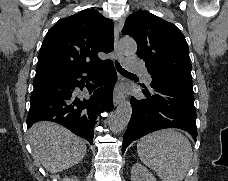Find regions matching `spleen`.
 I'll return each mask as SVG.
<instances>
[{
    "label": "spleen",
    "mask_w": 228,
    "mask_h": 181,
    "mask_svg": "<svg viewBox=\"0 0 228 181\" xmlns=\"http://www.w3.org/2000/svg\"><path fill=\"white\" fill-rule=\"evenodd\" d=\"M137 153L162 181H183L193 155L188 139L175 129H163L139 139Z\"/></svg>",
    "instance_id": "obj_1"
}]
</instances>
